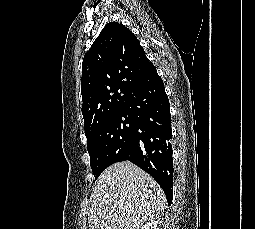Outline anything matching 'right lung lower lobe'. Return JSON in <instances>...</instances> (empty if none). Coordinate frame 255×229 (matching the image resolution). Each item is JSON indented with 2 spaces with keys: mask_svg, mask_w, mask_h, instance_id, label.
Segmentation results:
<instances>
[{
  "mask_svg": "<svg viewBox=\"0 0 255 229\" xmlns=\"http://www.w3.org/2000/svg\"><path fill=\"white\" fill-rule=\"evenodd\" d=\"M124 112L134 120L130 161L150 174L163 189L168 205L173 195L171 114L164 83L156 69L145 75Z\"/></svg>",
  "mask_w": 255,
  "mask_h": 229,
  "instance_id": "98d812e1",
  "label": "right lung lower lobe"
}]
</instances>
